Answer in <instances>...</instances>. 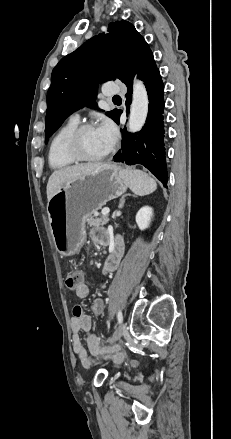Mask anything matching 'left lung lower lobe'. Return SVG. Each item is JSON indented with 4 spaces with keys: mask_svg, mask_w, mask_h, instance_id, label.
Instances as JSON below:
<instances>
[{
    "mask_svg": "<svg viewBox=\"0 0 231 439\" xmlns=\"http://www.w3.org/2000/svg\"><path fill=\"white\" fill-rule=\"evenodd\" d=\"M137 74L147 89L149 111L146 123L137 133L122 130L121 149L113 157L115 162L127 165L142 164L149 169L167 187V168L164 147V86L160 72L155 64L150 48H146L137 61L132 74L125 80L127 86L126 107L129 111L132 102V78ZM122 111H118L114 120L119 124Z\"/></svg>",
    "mask_w": 231,
    "mask_h": 439,
    "instance_id": "left-lung-lower-lobe-1",
    "label": "left lung lower lobe"
}]
</instances>
